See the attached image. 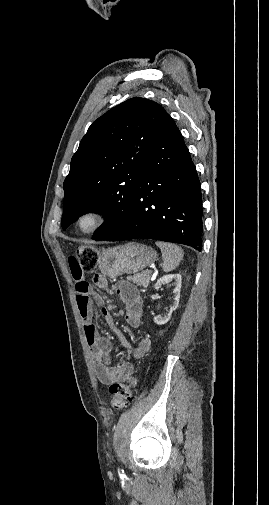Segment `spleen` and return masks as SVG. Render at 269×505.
I'll return each instance as SVG.
<instances>
[{"label":"spleen","instance_id":"spleen-1","mask_svg":"<svg viewBox=\"0 0 269 505\" xmlns=\"http://www.w3.org/2000/svg\"><path fill=\"white\" fill-rule=\"evenodd\" d=\"M156 245L162 252V269L164 272L174 270L183 258L184 252L181 247L176 244L156 241Z\"/></svg>","mask_w":269,"mask_h":505}]
</instances>
